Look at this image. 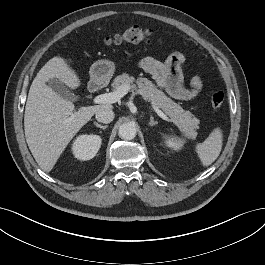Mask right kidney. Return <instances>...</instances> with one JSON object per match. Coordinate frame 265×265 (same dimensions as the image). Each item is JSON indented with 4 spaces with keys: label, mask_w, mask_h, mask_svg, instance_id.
<instances>
[{
    "label": "right kidney",
    "mask_w": 265,
    "mask_h": 265,
    "mask_svg": "<svg viewBox=\"0 0 265 265\" xmlns=\"http://www.w3.org/2000/svg\"><path fill=\"white\" fill-rule=\"evenodd\" d=\"M102 139L98 135H80L72 146L73 155L79 160H90L98 152Z\"/></svg>",
    "instance_id": "1"
}]
</instances>
